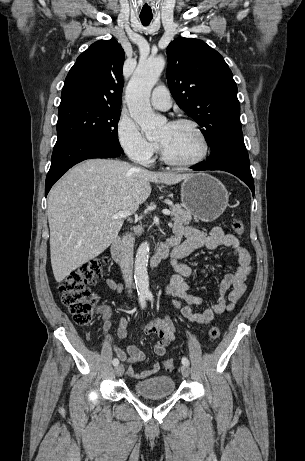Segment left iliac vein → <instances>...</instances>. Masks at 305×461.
Returning a JSON list of instances; mask_svg holds the SVG:
<instances>
[{
	"instance_id": "4c4485c4",
	"label": "left iliac vein",
	"mask_w": 305,
	"mask_h": 461,
	"mask_svg": "<svg viewBox=\"0 0 305 461\" xmlns=\"http://www.w3.org/2000/svg\"><path fill=\"white\" fill-rule=\"evenodd\" d=\"M181 373H182V375H183L184 377H188L189 374H190V369H189V367H188L187 365H183V366L181 367Z\"/></svg>"
}]
</instances>
